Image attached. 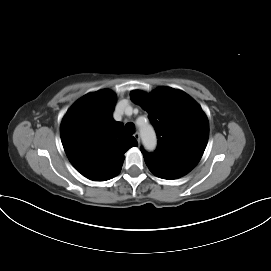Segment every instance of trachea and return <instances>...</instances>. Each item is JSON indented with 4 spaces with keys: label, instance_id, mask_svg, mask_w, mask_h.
<instances>
[{
    "label": "trachea",
    "instance_id": "trachea-1",
    "mask_svg": "<svg viewBox=\"0 0 271 271\" xmlns=\"http://www.w3.org/2000/svg\"><path fill=\"white\" fill-rule=\"evenodd\" d=\"M125 132L128 134H134L135 126L133 123L129 122L125 125Z\"/></svg>",
    "mask_w": 271,
    "mask_h": 271
}]
</instances>
